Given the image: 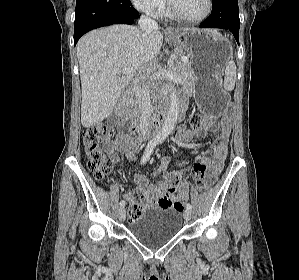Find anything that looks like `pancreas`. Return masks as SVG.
Masks as SVG:
<instances>
[{
    "instance_id": "pancreas-1",
    "label": "pancreas",
    "mask_w": 299,
    "mask_h": 280,
    "mask_svg": "<svg viewBox=\"0 0 299 280\" xmlns=\"http://www.w3.org/2000/svg\"><path fill=\"white\" fill-rule=\"evenodd\" d=\"M180 73L183 79L184 86L186 88H192L194 83V76L189 60L187 62L181 63Z\"/></svg>"
}]
</instances>
